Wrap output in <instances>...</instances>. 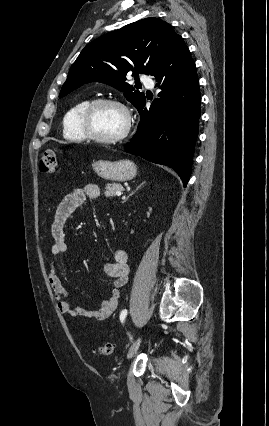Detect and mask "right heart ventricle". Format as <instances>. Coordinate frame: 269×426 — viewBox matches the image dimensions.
<instances>
[{"mask_svg": "<svg viewBox=\"0 0 269 426\" xmlns=\"http://www.w3.org/2000/svg\"><path fill=\"white\" fill-rule=\"evenodd\" d=\"M91 102L90 98H84L71 106L63 118V134L67 139L84 141L86 136L81 127V115L85 107Z\"/></svg>", "mask_w": 269, "mask_h": 426, "instance_id": "1", "label": "right heart ventricle"}]
</instances>
